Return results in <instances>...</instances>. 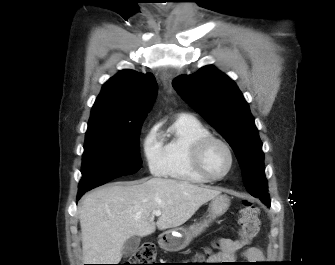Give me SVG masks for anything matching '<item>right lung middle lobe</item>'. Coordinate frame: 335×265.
Masks as SVG:
<instances>
[{"label": "right lung middle lobe", "instance_id": "dd1d6c3e", "mask_svg": "<svg viewBox=\"0 0 335 265\" xmlns=\"http://www.w3.org/2000/svg\"><path fill=\"white\" fill-rule=\"evenodd\" d=\"M142 123L120 133L86 134L79 192L88 191L114 178L136 173L142 167L140 128Z\"/></svg>", "mask_w": 335, "mask_h": 265}]
</instances>
